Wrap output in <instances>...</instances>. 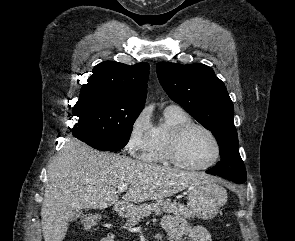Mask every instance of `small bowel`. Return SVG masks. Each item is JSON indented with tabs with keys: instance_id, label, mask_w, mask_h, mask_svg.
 Wrapping results in <instances>:
<instances>
[{
	"instance_id": "1",
	"label": "small bowel",
	"mask_w": 295,
	"mask_h": 241,
	"mask_svg": "<svg viewBox=\"0 0 295 241\" xmlns=\"http://www.w3.org/2000/svg\"><path fill=\"white\" fill-rule=\"evenodd\" d=\"M163 228L167 231L168 241H179L187 237L190 241H211L208 231L200 226H191L176 215H165L162 219ZM101 241H116L114 234L109 233Z\"/></svg>"
}]
</instances>
